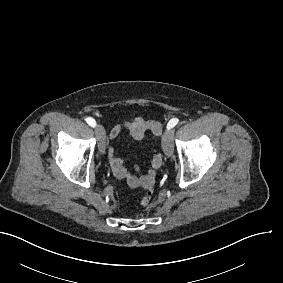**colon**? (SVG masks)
Returning a JSON list of instances; mask_svg holds the SVG:
<instances>
[{
  "instance_id": "colon-1",
  "label": "colon",
  "mask_w": 283,
  "mask_h": 283,
  "mask_svg": "<svg viewBox=\"0 0 283 283\" xmlns=\"http://www.w3.org/2000/svg\"><path fill=\"white\" fill-rule=\"evenodd\" d=\"M145 194L141 198V205L147 207L150 205L153 199V194L155 190V179L154 177L149 178L144 183Z\"/></svg>"
}]
</instances>
